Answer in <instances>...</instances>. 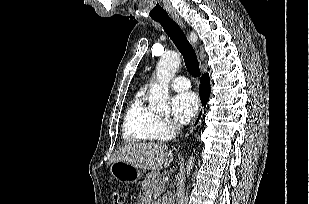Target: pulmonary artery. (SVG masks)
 <instances>
[{
    "label": "pulmonary artery",
    "mask_w": 309,
    "mask_h": 204,
    "mask_svg": "<svg viewBox=\"0 0 309 204\" xmlns=\"http://www.w3.org/2000/svg\"><path fill=\"white\" fill-rule=\"evenodd\" d=\"M170 86L177 91L187 90L191 87L190 81L186 77H176L170 82Z\"/></svg>",
    "instance_id": "obj_1"
}]
</instances>
